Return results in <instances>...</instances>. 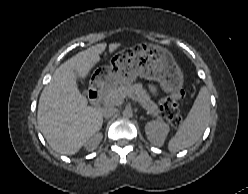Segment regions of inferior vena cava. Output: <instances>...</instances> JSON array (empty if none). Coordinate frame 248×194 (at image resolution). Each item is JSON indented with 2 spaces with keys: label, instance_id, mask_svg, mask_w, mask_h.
<instances>
[{
  "label": "inferior vena cava",
  "instance_id": "1",
  "mask_svg": "<svg viewBox=\"0 0 248 194\" xmlns=\"http://www.w3.org/2000/svg\"><path fill=\"white\" fill-rule=\"evenodd\" d=\"M117 112V109L115 107H106L103 109V116L105 118L112 117Z\"/></svg>",
  "mask_w": 248,
  "mask_h": 194
}]
</instances>
